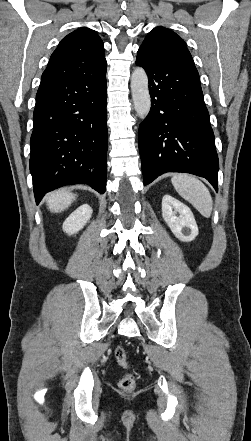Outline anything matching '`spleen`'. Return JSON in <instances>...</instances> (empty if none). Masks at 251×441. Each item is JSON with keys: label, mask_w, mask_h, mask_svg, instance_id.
<instances>
[{"label": "spleen", "mask_w": 251, "mask_h": 441, "mask_svg": "<svg viewBox=\"0 0 251 441\" xmlns=\"http://www.w3.org/2000/svg\"><path fill=\"white\" fill-rule=\"evenodd\" d=\"M171 182L182 198L190 202L201 215L210 217L213 207L212 197L200 180L187 174H175Z\"/></svg>", "instance_id": "obj_1"}]
</instances>
